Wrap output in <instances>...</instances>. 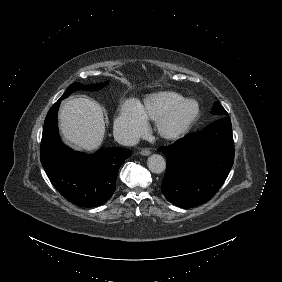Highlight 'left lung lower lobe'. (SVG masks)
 Returning a JSON list of instances; mask_svg holds the SVG:
<instances>
[{"mask_svg": "<svg viewBox=\"0 0 282 282\" xmlns=\"http://www.w3.org/2000/svg\"><path fill=\"white\" fill-rule=\"evenodd\" d=\"M159 151L167 158L161 185L167 200L181 208L204 204L223 185L234 162L231 121L220 116L204 130Z\"/></svg>", "mask_w": 282, "mask_h": 282, "instance_id": "1", "label": "left lung lower lobe"}]
</instances>
